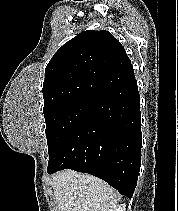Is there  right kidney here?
Returning a JSON list of instances; mask_svg holds the SVG:
<instances>
[{
	"instance_id": "1",
	"label": "right kidney",
	"mask_w": 178,
	"mask_h": 211,
	"mask_svg": "<svg viewBox=\"0 0 178 211\" xmlns=\"http://www.w3.org/2000/svg\"><path fill=\"white\" fill-rule=\"evenodd\" d=\"M125 209H126V205L121 204V205H116L112 207L110 211H125Z\"/></svg>"
}]
</instances>
